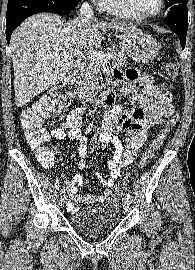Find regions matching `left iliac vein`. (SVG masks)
I'll list each match as a JSON object with an SVG mask.
<instances>
[{"label": "left iliac vein", "mask_w": 195, "mask_h": 270, "mask_svg": "<svg viewBox=\"0 0 195 270\" xmlns=\"http://www.w3.org/2000/svg\"><path fill=\"white\" fill-rule=\"evenodd\" d=\"M123 207L125 210L130 208V200L126 196L123 198Z\"/></svg>", "instance_id": "4c4485c4"}]
</instances>
